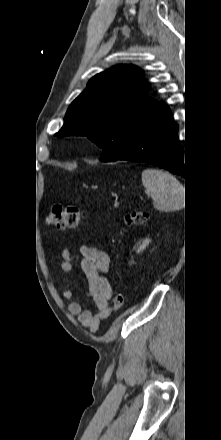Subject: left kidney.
Listing matches in <instances>:
<instances>
[{
  "label": "left kidney",
  "instance_id": "1",
  "mask_svg": "<svg viewBox=\"0 0 221 440\" xmlns=\"http://www.w3.org/2000/svg\"><path fill=\"white\" fill-rule=\"evenodd\" d=\"M150 242H151L150 239H145V240L142 242V244L139 245V247H138V249H137V253L143 251V250L149 245Z\"/></svg>",
  "mask_w": 221,
  "mask_h": 440
}]
</instances>
